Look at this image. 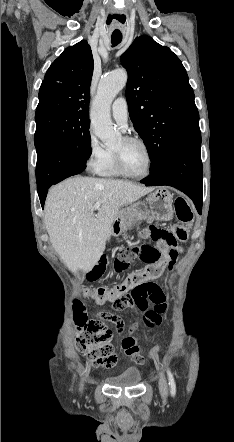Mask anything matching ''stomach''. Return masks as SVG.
I'll return each instance as SVG.
<instances>
[{
    "label": "stomach",
    "instance_id": "0dacf381",
    "mask_svg": "<svg viewBox=\"0 0 234 442\" xmlns=\"http://www.w3.org/2000/svg\"><path fill=\"white\" fill-rule=\"evenodd\" d=\"M147 202L149 207L145 202H137L119 212V222L116 221L119 231L130 229L137 221L144 220L149 215L159 221H169L173 218V195L167 188H157L148 195ZM131 215H134L133 221H130Z\"/></svg>",
    "mask_w": 234,
    "mask_h": 442
}]
</instances>
